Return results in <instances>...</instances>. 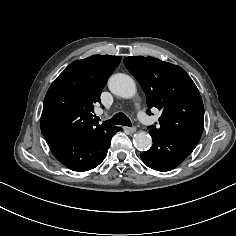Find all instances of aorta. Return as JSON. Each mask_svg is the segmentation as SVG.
Wrapping results in <instances>:
<instances>
[{
	"label": "aorta",
	"mask_w": 236,
	"mask_h": 236,
	"mask_svg": "<svg viewBox=\"0 0 236 236\" xmlns=\"http://www.w3.org/2000/svg\"><path fill=\"white\" fill-rule=\"evenodd\" d=\"M108 87L113 94L125 99L136 94V84L127 74L118 73L111 76ZM134 144L139 150H148L152 145V138L145 132H139L134 135Z\"/></svg>",
	"instance_id": "1"
}]
</instances>
